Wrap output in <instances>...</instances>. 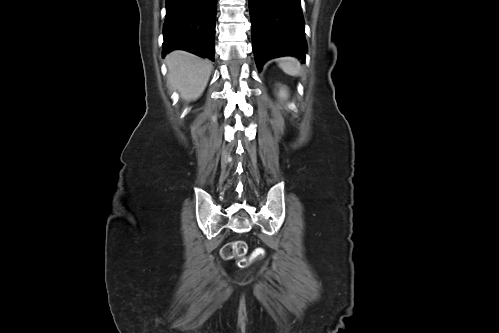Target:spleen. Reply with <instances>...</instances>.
Returning a JSON list of instances; mask_svg holds the SVG:
<instances>
[{"instance_id":"3e777b00","label":"spleen","mask_w":499,"mask_h":333,"mask_svg":"<svg viewBox=\"0 0 499 333\" xmlns=\"http://www.w3.org/2000/svg\"><path fill=\"white\" fill-rule=\"evenodd\" d=\"M278 65L290 76H299L301 74L300 62L294 57H282L279 59Z\"/></svg>"}]
</instances>
